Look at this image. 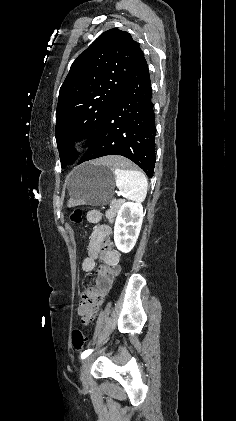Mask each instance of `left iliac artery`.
Here are the masks:
<instances>
[{
	"label": "left iliac artery",
	"instance_id": "44dca946",
	"mask_svg": "<svg viewBox=\"0 0 236 421\" xmlns=\"http://www.w3.org/2000/svg\"><path fill=\"white\" fill-rule=\"evenodd\" d=\"M92 352H93V350H92V349L85 350V351L81 354V358H82V359H85V358H86L87 356H89Z\"/></svg>",
	"mask_w": 236,
	"mask_h": 421
}]
</instances>
